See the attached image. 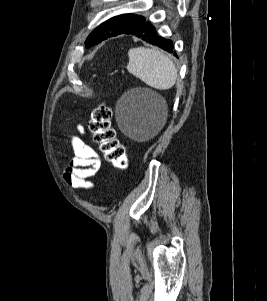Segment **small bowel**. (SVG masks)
Segmentation results:
<instances>
[{
    "instance_id": "1",
    "label": "small bowel",
    "mask_w": 267,
    "mask_h": 301,
    "mask_svg": "<svg viewBox=\"0 0 267 301\" xmlns=\"http://www.w3.org/2000/svg\"><path fill=\"white\" fill-rule=\"evenodd\" d=\"M79 135H68L73 157L70 159L64 173L66 182L73 188L94 190L96 185L90 180L101 168V157L91 145L82 138L85 136L83 125L77 126Z\"/></svg>"
}]
</instances>
